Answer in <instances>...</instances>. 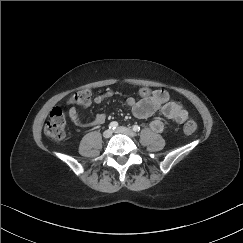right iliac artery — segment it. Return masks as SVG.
I'll return each mask as SVG.
<instances>
[{"label":"right iliac artery","mask_w":243,"mask_h":243,"mask_svg":"<svg viewBox=\"0 0 243 243\" xmlns=\"http://www.w3.org/2000/svg\"><path fill=\"white\" fill-rule=\"evenodd\" d=\"M117 126H118V123H117L116 121H113V122H111V123L109 124V129L114 130V129L117 128Z\"/></svg>","instance_id":"82829eb1"}]
</instances>
